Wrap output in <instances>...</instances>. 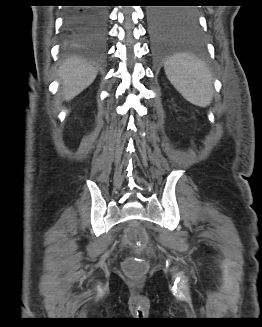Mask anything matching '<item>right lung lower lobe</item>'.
Segmentation results:
<instances>
[{
    "instance_id": "right-lung-lower-lobe-1",
    "label": "right lung lower lobe",
    "mask_w": 262,
    "mask_h": 327,
    "mask_svg": "<svg viewBox=\"0 0 262 327\" xmlns=\"http://www.w3.org/2000/svg\"><path fill=\"white\" fill-rule=\"evenodd\" d=\"M107 20V12L101 7L74 6L66 9L65 44L102 47L107 36Z\"/></svg>"
}]
</instances>
